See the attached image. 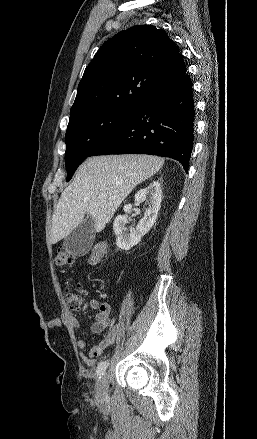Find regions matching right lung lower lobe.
I'll return each instance as SVG.
<instances>
[{
  "instance_id": "obj_1",
  "label": "right lung lower lobe",
  "mask_w": 257,
  "mask_h": 439,
  "mask_svg": "<svg viewBox=\"0 0 257 439\" xmlns=\"http://www.w3.org/2000/svg\"><path fill=\"white\" fill-rule=\"evenodd\" d=\"M194 114L192 82L185 74L143 101L89 156L158 155L179 161L187 172L194 139Z\"/></svg>"
}]
</instances>
